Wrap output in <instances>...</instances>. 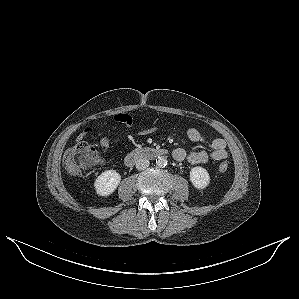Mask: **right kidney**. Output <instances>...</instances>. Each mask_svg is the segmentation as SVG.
<instances>
[{
    "label": "right kidney",
    "mask_w": 299,
    "mask_h": 299,
    "mask_svg": "<svg viewBox=\"0 0 299 299\" xmlns=\"http://www.w3.org/2000/svg\"><path fill=\"white\" fill-rule=\"evenodd\" d=\"M121 181V176L115 170H106L94 182L96 193L101 196L112 194Z\"/></svg>",
    "instance_id": "ca27d5eb"
}]
</instances>
